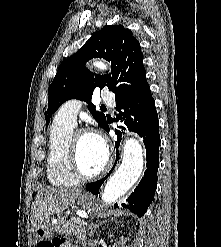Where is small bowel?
I'll return each instance as SVG.
<instances>
[{"label": "small bowel", "instance_id": "small-bowel-1", "mask_svg": "<svg viewBox=\"0 0 221 247\" xmlns=\"http://www.w3.org/2000/svg\"><path fill=\"white\" fill-rule=\"evenodd\" d=\"M57 247H72V245L70 243H68V242H61V244L58 245Z\"/></svg>", "mask_w": 221, "mask_h": 247}]
</instances>
